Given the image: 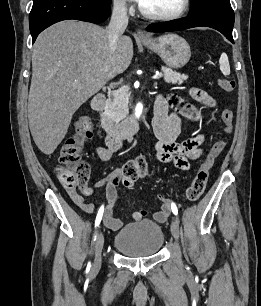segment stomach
<instances>
[{"label":"stomach","mask_w":261,"mask_h":306,"mask_svg":"<svg viewBox=\"0 0 261 306\" xmlns=\"http://www.w3.org/2000/svg\"><path fill=\"white\" fill-rule=\"evenodd\" d=\"M142 44L157 53L169 68H182L191 57V50L187 41L174 33L164 34L149 41H142Z\"/></svg>","instance_id":"1"}]
</instances>
